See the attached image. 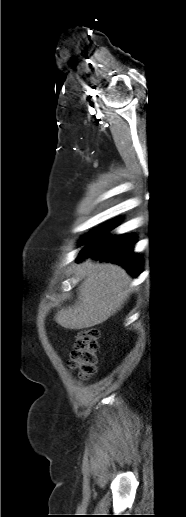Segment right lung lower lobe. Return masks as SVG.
I'll return each mask as SVG.
<instances>
[{"label":"right lung lower lobe","mask_w":186,"mask_h":517,"mask_svg":"<svg viewBox=\"0 0 186 517\" xmlns=\"http://www.w3.org/2000/svg\"><path fill=\"white\" fill-rule=\"evenodd\" d=\"M116 225L108 222L82 238V245L87 244L76 261L87 257L110 261L122 265L132 276L137 277L142 268L140 257L133 253L136 237L133 234L106 235Z\"/></svg>","instance_id":"1"}]
</instances>
